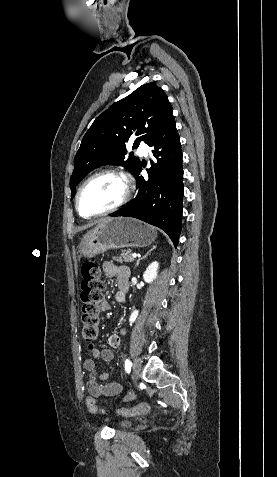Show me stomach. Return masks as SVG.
I'll use <instances>...</instances> for the list:
<instances>
[{
	"label": "stomach",
	"mask_w": 277,
	"mask_h": 477,
	"mask_svg": "<svg viewBox=\"0 0 277 477\" xmlns=\"http://www.w3.org/2000/svg\"><path fill=\"white\" fill-rule=\"evenodd\" d=\"M156 234L153 227L134 218H106L85 234L79 252L84 257H93L109 249L146 247L154 242Z\"/></svg>",
	"instance_id": "stomach-1"
}]
</instances>
